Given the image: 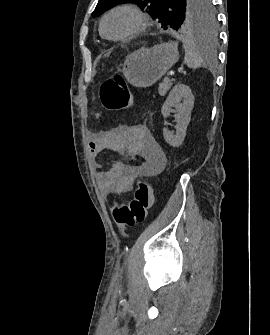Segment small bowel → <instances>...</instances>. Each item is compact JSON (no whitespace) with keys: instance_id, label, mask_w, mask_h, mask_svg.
I'll list each match as a JSON object with an SVG mask.
<instances>
[{"instance_id":"c3829d8e","label":"small bowel","mask_w":270,"mask_h":335,"mask_svg":"<svg viewBox=\"0 0 270 335\" xmlns=\"http://www.w3.org/2000/svg\"><path fill=\"white\" fill-rule=\"evenodd\" d=\"M89 146L95 167H100L96 158L105 150L125 153L129 160L135 156L144 159L140 165L114 162L110 169L97 174L96 180L100 187L111 194L130 192L140 174L148 176L157 174L164 169L167 162L163 148L154 139L149 128L142 123L119 125L110 132L93 134Z\"/></svg>"}]
</instances>
